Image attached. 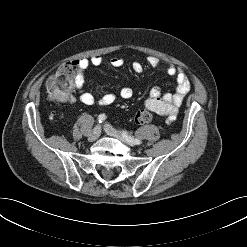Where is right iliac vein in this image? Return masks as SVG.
Wrapping results in <instances>:
<instances>
[{
	"label": "right iliac vein",
	"mask_w": 247,
	"mask_h": 247,
	"mask_svg": "<svg viewBox=\"0 0 247 247\" xmlns=\"http://www.w3.org/2000/svg\"><path fill=\"white\" fill-rule=\"evenodd\" d=\"M101 133V128L100 126H96L94 127V129L90 132V134L88 135V140L90 141H95L96 139H98V137L100 136Z\"/></svg>",
	"instance_id": "right-iliac-vein-1"
}]
</instances>
